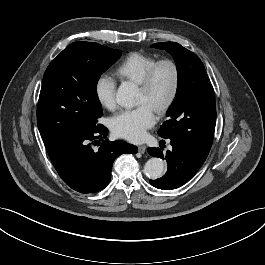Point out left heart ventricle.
<instances>
[{"instance_id": "left-heart-ventricle-1", "label": "left heart ventricle", "mask_w": 265, "mask_h": 265, "mask_svg": "<svg viewBox=\"0 0 265 265\" xmlns=\"http://www.w3.org/2000/svg\"><path fill=\"white\" fill-rule=\"evenodd\" d=\"M172 82V69L168 65L159 67L155 73L151 91L149 93H144L139 89L137 104H146L155 110V108L168 97Z\"/></svg>"}]
</instances>
